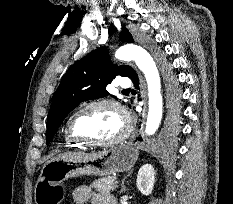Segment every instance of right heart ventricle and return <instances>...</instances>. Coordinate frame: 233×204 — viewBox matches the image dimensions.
Returning a JSON list of instances; mask_svg holds the SVG:
<instances>
[{
	"instance_id": "right-heart-ventricle-1",
	"label": "right heart ventricle",
	"mask_w": 233,
	"mask_h": 204,
	"mask_svg": "<svg viewBox=\"0 0 233 204\" xmlns=\"http://www.w3.org/2000/svg\"><path fill=\"white\" fill-rule=\"evenodd\" d=\"M64 140H65V143L68 147H76V148H81L84 146V144L72 139L69 135H68V132H67V129H65L64 131Z\"/></svg>"
}]
</instances>
